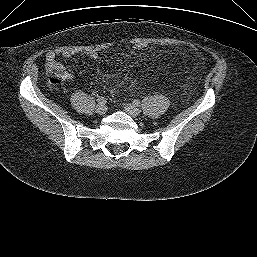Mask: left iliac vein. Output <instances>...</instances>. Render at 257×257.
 <instances>
[{
	"mask_svg": "<svg viewBox=\"0 0 257 257\" xmlns=\"http://www.w3.org/2000/svg\"><path fill=\"white\" fill-rule=\"evenodd\" d=\"M124 109L133 118H136L140 113V110L135 105L130 103L125 104Z\"/></svg>",
	"mask_w": 257,
	"mask_h": 257,
	"instance_id": "left-iliac-vein-1",
	"label": "left iliac vein"
}]
</instances>
